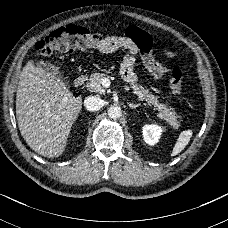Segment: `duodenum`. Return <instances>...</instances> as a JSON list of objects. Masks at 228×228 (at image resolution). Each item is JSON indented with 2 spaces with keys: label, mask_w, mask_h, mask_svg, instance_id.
I'll list each match as a JSON object with an SVG mask.
<instances>
[{
  "label": "duodenum",
  "mask_w": 228,
  "mask_h": 228,
  "mask_svg": "<svg viewBox=\"0 0 228 228\" xmlns=\"http://www.w3.org/2000/svg\"><path fill=\"white\" fill-rule=\"evenodd\" d=\"M84 82H85L84 76H83V75H80V76H77V77L74 79L73 85H74V87H76V88H80V87L83 86Z\"/></svg>",
  "instance_id": "obj_1"
}]
</instances>
